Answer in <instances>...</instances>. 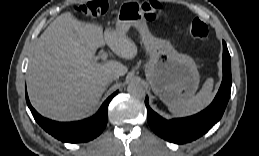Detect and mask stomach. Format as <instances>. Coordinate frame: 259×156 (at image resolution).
Returning a JSON list of instances; mask_svg holds the SVG:
<instances>
[{
    "label": "stomach",
    "instance_id": "1",
    "mask_svg": "<svg viewBox=\"0 0 259 156\" xmlns=\"http://www.w3.org/2000/svg\"><path fill=\"white\" fill-rule=\"evenodd\" d=\"M131 26L140 29L142 42L150 56L145 73L153 92L166 105L191 98L200 81L194 60L178 53L170 42L152 36L141 11L135 8L134 3L126 2L118 14L116 29L127 31Z\"/></svg>",
    "mask_w": 259,
    "mask_h": 156
}]
</instances>
